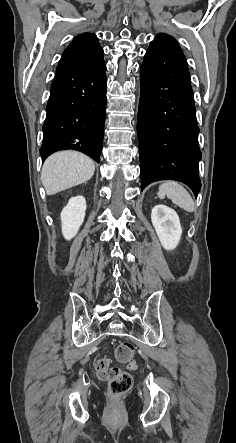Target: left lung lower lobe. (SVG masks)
Segmentation results:
<instances>
[{"label": "left lung lower lobe", "mask_w": 236, "mask_h": 443, "mask_svg": "<svg viewBox=\"0 0 236 443\" xmlns=\"http://www.w3.org/2000/svg\"><path fill=\"white\" fill-rule=\"evenodd\" d=\"M190 74L183 53L150 47L140 68L137 118L143 190L159 180L188 185L197 197L199 127Z\"/></svg>", "instance_id": "1"}]
</instances>
